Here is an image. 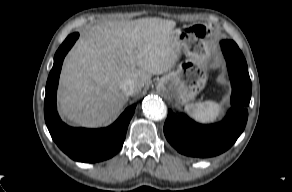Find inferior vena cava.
<instances>
[{
  "label": "inferior vena cava",
  "mask_w": 292,
  "mask_h": 192,
  "mask_svg": "<svg viewBox=\"0 0 292 192\" xmlns=\"http://www.w3.org/2000/svg\"><path fill=\"white\" fill-rule=\"evenodd\" d=\"M122 91L127 95H133L135 91V83L131 79H126L124 82L121 84Z\"/></svg>",
  "instance_id": "1"
}]
</instances>
